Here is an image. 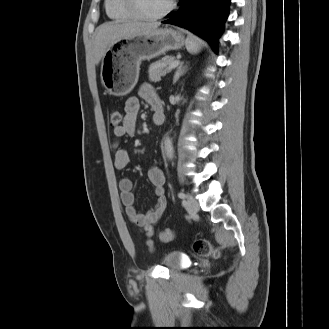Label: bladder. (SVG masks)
I'll return each instance as SVG.
<instances>
[{"instance_id": "31cf9c89", "label": "bladder", "mask_w": 329, "mask_h": 329, "mask_svg": "<svg viewBox=\"0 0 329 329\" xmlns=\"http://www.w3.org/2000/svg\"><path fill=\"white\" fill-rule=\"evenodd\" d=\"M162 264L170 270H181L185 266V259L180 252L171 251L163 256Z\"/></svg>"}]
</instances>
